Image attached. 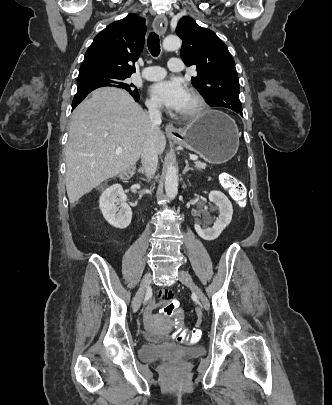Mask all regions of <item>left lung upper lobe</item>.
<instances>
[{
	"mask_svg": "<svg viewBox=\"0 0 332 405\" xmlns=\"http://www.w3.org/2000/svg\"><path fill=\"white\" fill-rule=\"evenodd\" d=\"M176 33L183 40L182 60L187 66L196 65L197 76L192 81L206 102L211 107L241 109L239 79L227 46L190 17L179 21Z\"/></svg>",
	"mask_w": 332,
	"mask_h": 405,
	"instance_id": "left-lung-upper-lobe-1",
	"label": "left lung upper lobe"
}]
</instances>
